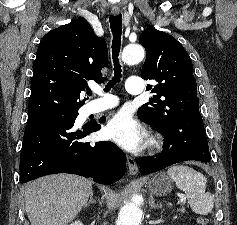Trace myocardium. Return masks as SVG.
<instances>
[{"mask_svg":"<svg viewBox=\"0 0 237 225\" xmlns=\"http://www.w3.org/2000/svg\"><path fill=\"white\" fill-rule=\"evenodd\" d=\"M149 146L153 151L161 150L163 147V140L160 135L154 134L151 136Z\"/></svg>","mask_w":237,"mask_h":225,"instance_id":"myocardium-1","label":"myocardium"}]
</instances>
